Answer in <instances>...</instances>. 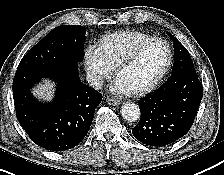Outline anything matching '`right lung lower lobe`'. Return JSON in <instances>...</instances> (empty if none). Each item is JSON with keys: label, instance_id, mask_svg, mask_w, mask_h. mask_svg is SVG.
Wrapping results in <instances>:
<instances>
[{"label": "right lung lower lobe", "instance_id": "98d812e1", "mask_svg": "<svg viewBox=\"0 0 224 175\" xmlns=\"http://www.w3.org/2000/svg\"><path fill=\"white\" fill-rule=\"evenodd\" d=\"M57 83L54 100L39 102L31 88L42 78ZM16 116L33 142L50 151L68 150L88 133L102 95L79 79L78 66L20 68L13 80Z\"/></svg>", "mask_w": 224, "mask_h": 175}]
</instances>
